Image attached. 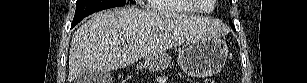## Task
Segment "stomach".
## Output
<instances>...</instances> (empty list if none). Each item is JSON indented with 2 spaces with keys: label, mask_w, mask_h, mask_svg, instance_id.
Masks as SVG:
<instances>
[{
  "label": "stomach",
  "mask_w": 307,
  "mask_h": 83,
  "mask_svg": "<svg viewBox=\"0 0 307 83\" xmlns=\"http://www.w3.org/2000/svg\"><path fill=\"white\" fill-rule=\"evenodd\" d=\"M228 56L226 43L218 39H198L184 44L179 52L178 64L182 71L193 77H206L219 72ZM171 63L166 54L145 58L144 67L162 71Z\"/></svg>",
  "instance_id": "1"
}]
</instances>
